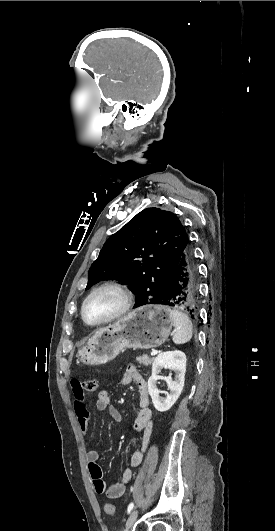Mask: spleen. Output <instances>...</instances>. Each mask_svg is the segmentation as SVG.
<instances>
[{"label": "spleen", "mask_w": 275, "mask_h": 531, "mask_svg": "<svg viewBox=\"0 0 275 531\" xmlns=\"http://www.w3.org/2000/svg\"><path fill=\"white\" fill-rule=\"evenodd\" d=\"M170 315L173 317V325L175 327L173 333L174 343H176V345H183V343H188V341H191L193 335V325L188 315H185V313H182V311H177V309L170 311Z\"/></svg>", "instance_id": "obj_1"}]
</instances>
